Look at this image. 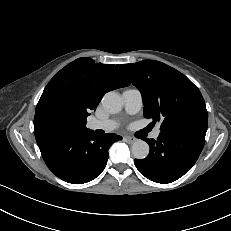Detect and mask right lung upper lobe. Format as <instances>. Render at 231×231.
I'll return each mask as SVG.
<instances>
[{
  "mask_svg": "<svg viewBox=\"0 0 231 231\" xmlns=\"http://www.w3.org/2000/svg\"><path fill=\"white\" fill-rule=\"evenodd\" d=\"M129 84L119 65L95 63L89 57L69 63L50 80L37 104L34 116L37 144L89 131L86 118L104 94Z\"/></svg>",
  "mask_w": 231,
  "mask_h": 231,
  "instance_id": "right-lung-upper-lobe-1",
  "label": "right lung upper lobe"
}]
</instances>
